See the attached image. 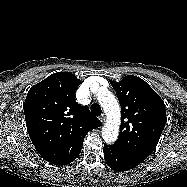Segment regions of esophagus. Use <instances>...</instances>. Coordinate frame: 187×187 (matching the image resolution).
<instances>
[{"mask_svg":"<svg viewBox=\"0 0 187 187\" xmlns=\"http://www.w3.org/2000/svg\"><path fill=\"white\" fill-rule=\"evenodd\" d=\"M99 120L101 121V123H104L106 118H105V115L102 114L100 117H99Z\"/></svg>","mask_w":187,"mask_h":187,"instance_id":"1","label":"esophagus"}]
</instances>
